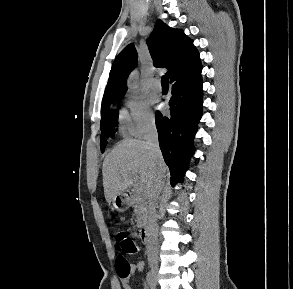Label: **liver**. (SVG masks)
<instances>
[{
    "label": "liver",
    "instance_id": "obj_1",
    "mask_svg": "<svg viewBox=\"0 0 293 289\" xmlns=\"http://www.w3.org/2000/svg\"><path fill=\"white\" fill-rule=\"evenodd\" d=\"M160 168L163 174L167 167L163 158L156 160L145 141L127 139L120 142L103 161V187L108 203L127 190L138 179L145 193Z\"/></svg>",
    "mask_w": 293,
    "mask_h": 289
}]
</instances>
